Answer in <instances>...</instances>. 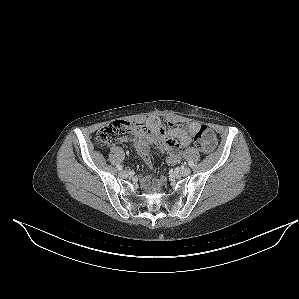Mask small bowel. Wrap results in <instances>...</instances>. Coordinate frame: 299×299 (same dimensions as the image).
<instances>
[{"label":"small bowel","mask_w":299,"mask_h":299,"mask_svg":"<svg viewBox=\"0 0 299 299\" xmlns=\"http://www.w3.org/2000/svg\"><path fill=\"white\" fill-rule=\"evenodd\" d=\"M142 126V129L135 134L134 146L149 167L153 165L149 153L151 145H157L167 153V162L169 164H176L181 158L183 148L191 145L195 133L200 128L199 123L191 121L183 126H173L166 129L160 118L156 116L148 117ZM208 140L213 147L215 136L210 130ZM145 182L148 183V180H145ZM163 182V178L156 179L153 185L159 187Z\"/></svg>","instance_id":"c3829d8e"}]
</instances>
